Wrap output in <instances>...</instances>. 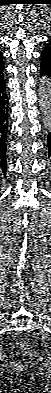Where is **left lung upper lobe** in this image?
<instances>
[{"mask_svg":"<svg viewBox=\"0 0 51 393\" xmlns=\"http://www.w3.org/2000/svg\"><path fill=\"white\" fill-rule=\"evenodd\" d=\"M50 41H48V43L46 44L45 48H44V52L51 54V39H49Z\"/></svg>","mask_w":51,"mask_h":393,"instance_id":"1","label":"left lung upper lobe"}]
</instances>
